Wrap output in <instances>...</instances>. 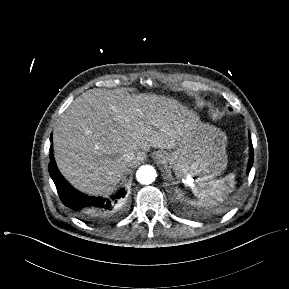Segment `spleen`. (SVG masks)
Masks as SVG:
<instances>
[{
  "instance_id": "spleen-1",
  "label": "spleen",
  "mask_w": 289,
  "mask_h": 289,
  "mask_svg": "<svg viewBox=\"0 0 289 289\" xmlns=\"http://www.w3.org/2000/svg\"><path fill=\"white\" fill-rule=\"evenodd\" d=\"M235 175L233 173L218 179L207 181L204 178L197 179V185L192 184L193 193L201 200L209 203L222 202L227 194L235 188Z\"/></svg>"
}]
</instances>
